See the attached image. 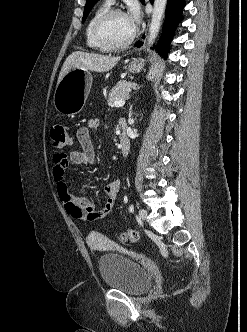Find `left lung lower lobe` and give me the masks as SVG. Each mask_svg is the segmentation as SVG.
<instances>
[{
  "label": "left lung lower lobe",
  "instance_id": "left-lung-lower-lobe-1",
  "mask_svg": "<svg viewBox=\"0 0 247 332\" xmlns=\"http://www.w3.org/2000/svg\"><path fill=\"white\" fill-rule=\"evenodd\" d=\"M153 1L154 0H150L151 3H153ZM184 5V0L167 1L166 19L163 27V33L157 45V51H159L163 55H167L169 51V45L171 40L173 39L174 30L178 22L182 20L180 12L183 9ZM135 45L140 46L137 45V43Z\"/></svg>",
  "mask_w": 247,
  "mask_h": 332
}]
</instances>
